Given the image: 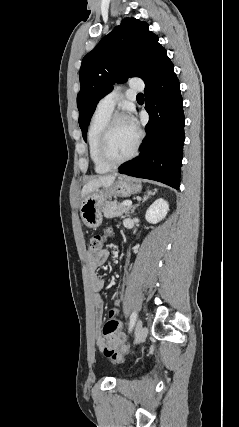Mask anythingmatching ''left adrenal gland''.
Returning <instances> with one entry per match:
<instances>
[{
  "label": "left adrenal gland",
  "mask_w": 239,
  "mask_h": 427,
  "mask_svg": "<svg viewBox=\"0 0 239 427\" xmlns=\"http://www.w3.org/2000/svg\"><path fill=\"white\" fill-rule=\"evenodd\" d=\"M156 191V190H155ZM155 194V192H151V191H148L147 192V194L143 197V199H142V201L141 202H145L150 196H152V195H154ZM140 205V203L139 204H136V205H134L133 207H132V209H131V214H133L134 213V211H135V209H136V207H138Z\"/></svg>",
  "instance_id": "1"
}]
</instances>
